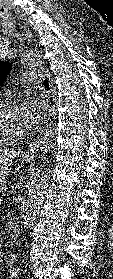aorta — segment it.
I'll return each instance as SVG.
<instances>
[{"instance_id":"1","label":"aorta","mask_w":113,"mask_h":279,"mask_svg":"<svg viewBox=\"0 0 113 279\" xmlns=\"http://www.w3.org/2000/svg\"><path fill=\"white\" fill-rule=\"evenodd\" d=\"M44 57V51L39 48H31L22 54V64L27 67L38 65ZM57 131L54 128H46L36 141L37 147L48 152L55 146ZM48 186V174L44 166L39 168L31 177L28 188V201L23 216V227L29 229L38 218Z\"/></svg>"}]
</instances>
